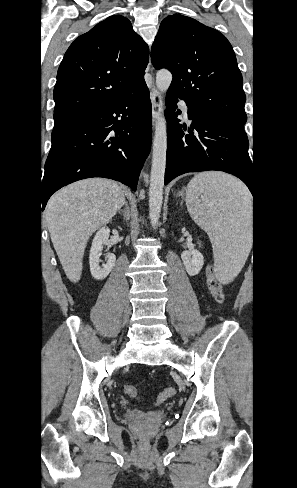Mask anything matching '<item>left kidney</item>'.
Returning <instances> with one entry per match:
<instances>
[{
  "instance_id": "obj_1",
  "label": "left kidney",
  "mask_w": 297,
  "mask_h": 488,
  "mask_svg": "<svg viewBox=\"0 0 297 488\" xmlns=\"http://www.w3.org/2000/svg\"><path fill=\"white\" fill-rule=\"evenodd\" d=\"M199 245L201 244L199 243ZM181 259L183 261L187 273L190 276L197 275L201 271L204 264L203 255L198 250L195 249L186 250L182 252Z\"/></svg>"
}]
</instances>
